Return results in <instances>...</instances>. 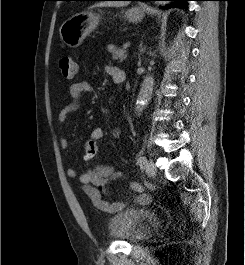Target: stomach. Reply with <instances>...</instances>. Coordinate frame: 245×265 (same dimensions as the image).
Returning a JSON list of instances; mask_svg holds the SVG:
<instances>
[{
    "instance_id": "0dacf381",
    "label": "stomach",
    "mask_w": 245,
    "mask_h": 265,
    "mask_svg": "<svg viewBox=\"0 0 245 265\" xmlns=\"http://www.w3.org/2000/svg\"><path fill=\"white\" fill-rule=\"evenodd\" d=\"M143 16L144 11L136 7L125 12V17L130 22H139ZM100 20V14L93 11L77 13L63 22L59 29L60 38L67 46L77 48L97 28Z\"/></svg>"
}]
</instances>
